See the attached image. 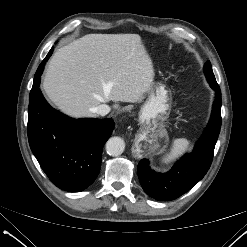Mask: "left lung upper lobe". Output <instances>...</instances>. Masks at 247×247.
I'll return each mask as SVG.
<instances>
[{
	"mask_svg": "<svg viewBox=\"0 0 247 247\" xmlns=\"http://www.w3.org/2000/svg\"><path fill=\"white\" fill-rule=\"evenodd\" d=\"M204 73L206 76L207 81L209 82L210 85H216L218 86L214 73L212 71V67L209 61H207L204 65Z\"/></svg>",
	"mask_w": 247,
	"mask_h": 247,
	"instance_id": "obj_1",
	"label": "left lung upper lobe"
}]
</instances>
